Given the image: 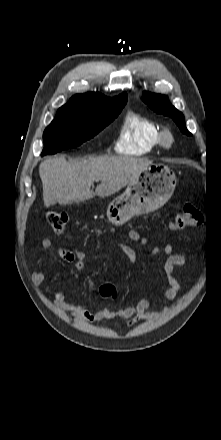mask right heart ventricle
I'll use <instances>...</instances> for the list:
<instances>
[{
  "mask_svg": "<svg viewBox=\"0 0 221 440\" xmlns=\"http://www.w3.org/2000/svg\"><path fill=\"white\" fill-rule=\"evenodd\" d=\"M162 129L153 120L129 113L124 118L115 144L118 153L142 156L161 148Z\"/></svg>",
  "mask_w": 221,
  "mask_h": 440,
  "instance_id": "e07e8e85",
  "label": "right heart ventricle"
}]
</instances>
